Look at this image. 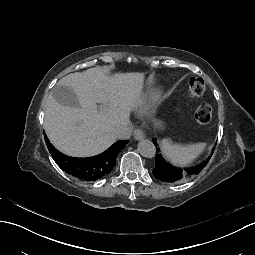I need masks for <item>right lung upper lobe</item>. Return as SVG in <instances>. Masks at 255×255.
I'll list each match as a JSON object with an SVG mask.
<instances>
[{"label": "right lung upper lobe", "mask_w": 255, "mask_h": 255, "mask_svg": "<svg viewBox=\"0 0 255 255\" xmlns=\"http://www.w3.org/2000/svg\"><path fill=\"white\" fill-rule=\"evenodd\" d=\"M48 150L52 155L58 166L69 175H72L78 179H83V166L85 164H92L94 166V179L95 181L108 175L115 166V159L118 153L126 146V141H118L114 143L108 150L100 155L88 158H73L64 155L54 148L50 144L49 140H46Z\"/></svg>", "instance_id": "right-lung-upper-lobe-1"}]
</instances>
